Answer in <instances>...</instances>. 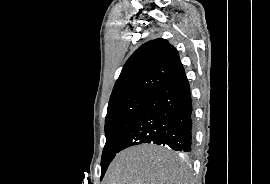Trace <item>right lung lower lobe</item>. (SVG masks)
Segmentation results:
<instances>
[{
	"label": "right lung lower lobe",
	"mask_w": 270,
	"mask_h": 184,
	"mask_svg": "<svg viewBox=\"0 0 270 184\" xmlns=\"http://www.w3.org/2000/svg\"><path fill=\"white\" fill-rule=\"evenodd\" d=\"M194 116L190 86L182 69L150 95L120 144L119 151L142 143L191 152Z\"/></svg>",
	"instance_id": "98d812e1"
}]
</instances>
